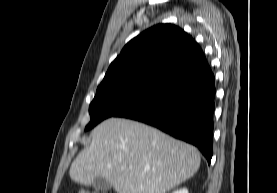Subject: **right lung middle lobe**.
<instances>
[{"mask_svg":"<svg viewBox=\"0 0 277 193\" xmlns=\"http://www.w3.org/2000/svg\"><path fill=\"white\" fill-rule=\"evenodd\" d=\"M154 90L135 87L97 89L89 106L90 122L85 131L92 129L106 118L116 116L135 105Z\"/></svg>","mask_w":277,"mask_h":193,"instance_id":"1","label":"right lung middle lobe"}]
</instances>
